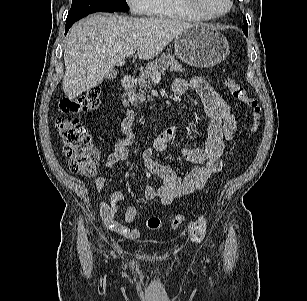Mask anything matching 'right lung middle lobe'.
Listing matches in <instances>:
<instances>
[{
  "instance_id": "right-lung-middle-lobe-1",
  "label": "right lung middle lobe",
  "mask_w": 307,
  "mask_h": 301,
  "mask_svg": "<svg viewBox=\"0 0 307 301\" xmlns=\"http://www.w3.org/2000/svg\"><path fill=\"white\" fill-rule=\"evenodd\" d=\"M128 11L125 0H72L67 21L81 19L94 12Z\"/></svg>"
}]
</instances>
